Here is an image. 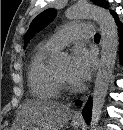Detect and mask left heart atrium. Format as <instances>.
Returning a JSON list of instances; mask_svg holds the SVG:
<instances>
[{"mask_svg": "<svg viewBox=\"0 0 123 130\" xmlns=\"http://www.w3.org/2000/svg\"><path fill=\"white\" fill-rule=\"evenodd\" d=\"M94 56L84 47H76L71 56L69 79L71 83L80 85L90 76L94 67Z\"/></svg>", "mask_w": 123, "mask_h": 130, "instance_id": "39dd6f15", "label": "left heart atrium"}]
</instances>
